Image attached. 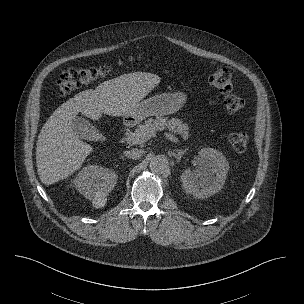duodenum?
<instances>
[{
    "label": "duodenum",
    "instance_id": "1",
    "mask_svg": "<svg viewBox=\"0 0 304 304\" xmlns=\"http://www.w3.org/2000/svg\"><path fill=\"white\" fill-rule=\"evenodd\" d=\"M132 122H133V120L130 119V120L126 121L125 125H126V126H130V125L132 124Z\"/></svg>",
    "mask_w": 304,
    "mask_h": 304
}]
</instances>
